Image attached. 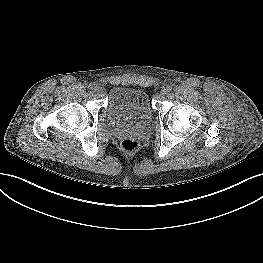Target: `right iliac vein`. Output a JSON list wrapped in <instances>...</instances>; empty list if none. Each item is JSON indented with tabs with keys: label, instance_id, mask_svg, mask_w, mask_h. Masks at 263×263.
Masks as SVG:
<instances>
[{
	"label": "right iliac vein",
	"instance_id": "1",
	"mask_svg": "<svg viewBox=\"0 0 263 263\" xmlns=\"http://www.w3.org/2000/svg\"><path fill=\"white\" fill-rule=\"evenodd\" d=\"M93 91H94V92H99V91H100V88H99L98 86H94V87H93Z\"/></svg>",
	"mask_w": 263,
	"mask_h": 263
}]
</instances>
